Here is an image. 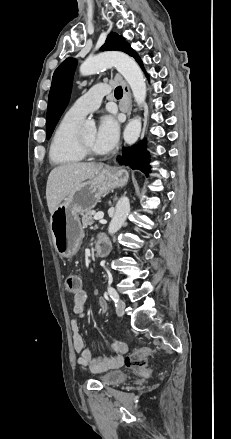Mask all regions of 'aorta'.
<instances>
[{"label": "aorta", "instance_id": "aorta-1", "mask_svg": "<svg viewBox=\"0 0 231 439\" xmlns=\"http://www.w3.org/2000/svg\"><path fill=\"white\" fill-rule=\"evenodd\" d=\"M110 67H115L126 79L132 90L134 99L140 107L146 99L145 78L138 64L129 55L119 51H110L88 57L80 66V74L87 76ZM141 127L142 123L140 117L130 120L123 134L124 140L127 144H134L138 140ZM85 128L94 129L95 123L88 120L85 122ZM129 212V198L123 196L117 202L114 216L109 224L108 232L110 234L117 232L121 228Z\"/></svg>", "mask_w": 231, "mask_h": 439}]
</instances>
